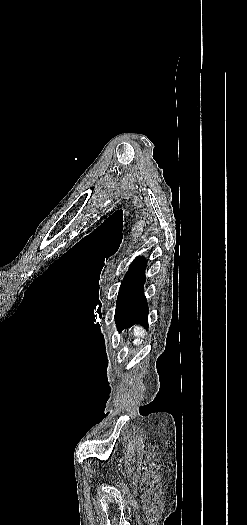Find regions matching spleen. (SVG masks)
<instances>
[{"mask_svg":"<svg viewBox=\"0 0 247 525\" xmlns=\"http://www.w3.org/2000/svg\"><path fill=\"white\" fill-rule=\"evenodd\" d=\"M133 333L136 337L134 345H136V347H139V345H142L143 343L142 339H144L145 337V331L144 329H141V327H138V325H136V327H134L133 329Z\"/></svg>","mask_w":247,"mask_h":525,"instance_id":"1","label":"spleen"}]
</instances>
